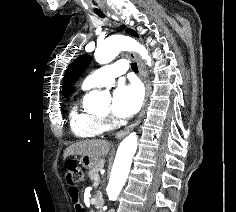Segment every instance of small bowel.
I'll return each instance as SVG.
<instances>
[{
	"label": "small bowel",
	"mask_w": 236,
	"mask_h": 212,
	"mask_svg": "<svg viewBox=\"0 0 236 212\" xmlns=\"http://www.w3.org/2000/svg\"><path fill=\"white\" fill-rule=\"evenodd\" d=\"M72 186H75V183H72ZM67 194L69 195L68 201L74 204L73 212H87L88 205H80L82 194L78 187H69Z\"/></svg>",
	"instance_id": "c3829d8e"
}]
</instances>
